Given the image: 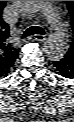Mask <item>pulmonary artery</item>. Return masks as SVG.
<instances>
[{
	"label": "pulmonary artery",
	"instance_id": "e3ab8cb5",
	"mask_svg": "<svg viewBox=\"0 0 74 122\" xmlns=\"http://www.w3.org/2000/svg\"><path fill=\"white\" fill-rule=\"evenodd\" d=\"M45 14L58 34H61L65 31L66 26L60 19L57 8L49 1L45 3Z\"/></svg>",
	"mask_w": 74,
	"mask_h": 122
}]
</instances>
